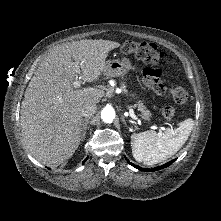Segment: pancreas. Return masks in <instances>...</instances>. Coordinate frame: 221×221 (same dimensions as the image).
<instances>
[{"label": "pancreas", "mask_w": 221, "mask_h": 221, "mask_svg": "<svg viewBox=\"0 0 221 221\" xmlns=\"http://www.w3.org/2000/svg\"><path fill=\"white\" fill-rule=\"evenodd\" d=\"M121 88L123 89L124 93L127 92L126 86L124 84H121ZM134 106H138V110L142 113V117L144 119L148 120L150 118L151 112L144 106L142 102H139L137 105Z\"/></svg>", "instance_id": "cf45deb5"}]
</instances>
